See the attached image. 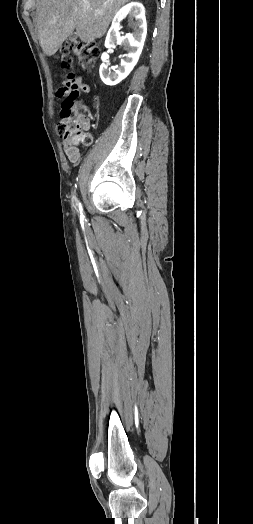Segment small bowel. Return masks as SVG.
Masks as SVG:
<instances>
[{
	"label": "small bowel",
	"instance_id": "obj_1",
	"mask_svg": "<svg viewBox=\"0 0 253 524\" xmlns=\"http://www.w3.org/2000/svg\"><path fill=\"white\" fill-rule=\"evenodd\" d=\"M54 95L55 97L60 98L62 97L63 92L62 90L57 89L55 90ZM85 127H87V123H85ZM62 146L64 153L73 163L79 162L81 158V153L77 148H74L71 145H69L67 141H63Z\"/></svg>",
	"mask_w": 253,
	"mask_h": 524
}]
</instances>
